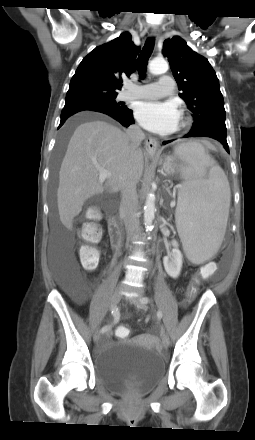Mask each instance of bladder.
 Segmentation results:
<instances>
[{
    "mask_svg": "<svg viewBox=\"0 0 255 440\" xmlns=\"http://www.w3.org/2000/svg\"><path fill=\"white\" fill-rule=\"evenodd\" d=\"M94 365L96 378L104 387L134 394L148 392L165 372L160 353L135 338L110 343Z\"/></svg>",
    "mask_w": 255,
    "mask_h": 440,
    "instance_id": "bladder-1",
    "label": "bladder"
}]
</instances>
